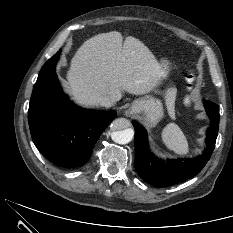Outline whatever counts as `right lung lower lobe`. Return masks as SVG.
Segmentation results:
<instances>
[{"instance_id":"1","label":"right lung lower lobe","mask_w":233,"mask_h":233,"mask_svg":"<svg viewBox=\"0 0 233 233\" xmlns=\"http://www.w3.org/2000/svg\"><path fill=\"white\" fill-rule=\"evenodd\" d=\"M61 50L42 67L32 92L28 120L38 150L64 168L84 165L115 111L78 107L62 92L55 66Z\"/></svg>"}]
</instances>
